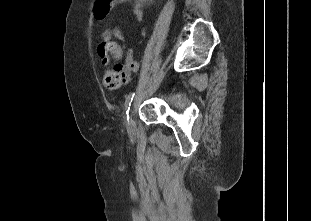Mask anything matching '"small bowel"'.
I'll use <instances>...</instances> for the list:
<instances>
[{
	"instance_id": "small-bowel-1",
	"label": "small bowel",
	"mask_w": 311,
	"mask_h": 221,
	"mask_svg": "<svg viewBox=\"0 0 311 221\" xmlns=\"http://www.w3.org/2000/svg\"><path fill=\"white\" fill-rule=\"evenodd\" d=\"M143 0H114V4L119 5L123 3H132V9L135 17L138 21L143 19V9H142ZM116 37L121 43H125V37L119 27H114L113 29L105 30L102 33V42L97 47V52L101 47H104L107 50V46L112 44V37ZM109 57H100V63L102 66H107L109 64ZM124 67L128 78L132 72H136L138 69V64L134 60L132 50H128L125 58Z\"/></svg>"
}]
</instances>
